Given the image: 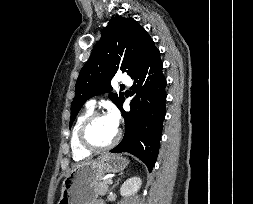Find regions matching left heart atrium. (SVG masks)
Segmentation results:
<instances>
[{
  "instance_id": "obj_1",
  "label": "left heart atrium",
  "mask_w": 253,
  "mask_h": 204,
  "mask_svg": "<svg viewBox=\"0 0 253 204\" xmlns=\"http://www.w3.org/2000/svg\"><path fill=\"white\" fill-rule=\"evenodd\" d=\"M106 117L111 122V124L118 129L119 121H120V115L119 112L115 108H110Z\"/></svg>"
}]
</instances>
